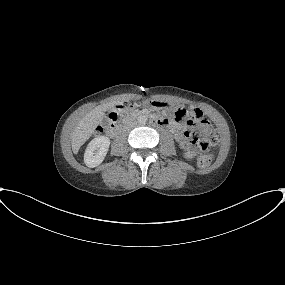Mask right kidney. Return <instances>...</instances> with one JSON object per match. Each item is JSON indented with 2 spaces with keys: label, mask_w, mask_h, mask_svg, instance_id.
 I'll list each match as a JSON object with an SVG mask.
<instances>
[{
  "label": "right kidney",
  "mask_w": 285,
  "mask_h": 285,
  "mask_svg": "<svg viewBox=\"0 0 285 285\" xmlns=\"http://www.w3.org/2000/svg\"><path fill=\"white\" fill-rule=\"evenodd\" d=\"M110 146V140L106 136L94 138L87 146L84 153V162L90 167H96L104 160Z\"/></svg>",
  "instance_id": "ca27d5eb"
}]
</instances>
